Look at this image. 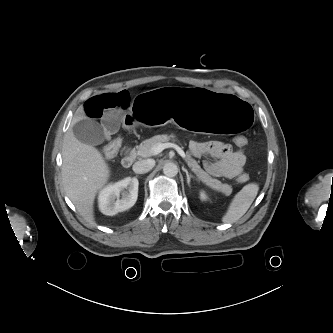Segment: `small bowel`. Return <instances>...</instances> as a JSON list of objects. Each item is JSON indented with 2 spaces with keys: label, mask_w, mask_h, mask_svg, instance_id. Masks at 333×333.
<instances>
[{
  "label": "small bowel",
  "mask_w": 333,
  "mask_h": 333,
  "mask_svg": "<svg viewBox=\"0 0 333 333\" xmlns=\"http://www.w3.org/2000/svg\"><path fill=\"white\" fill-rule=\"evenodd\" d=\"M130 95L126 91L108 92L88 99L83 105V113L93 119H101L108 128H112L120 112L130 107ZM190 152L193 156L210 157L204 162L205 170L212 176L234 178L239 175L246 163L243 150H233L220 141H191Z\"/></svg>",
  "instance_id": "obj_1"
}]
</instances>
